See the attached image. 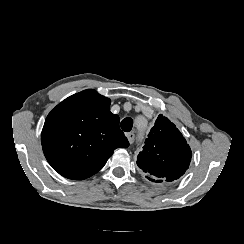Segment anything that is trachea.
<instances>
[{
	"label": "trachea",
	"mask_w": 244,
	"mask_h": 244,
	"mask_svg": "<svg viewBox=\"0 0 244 244\" xmlns=\"http://www.w3.org/2000/svg\"><path fill=\"white\" fill-rule=\"evenodd\" d=\"M120 125L123 131L130 132L133 127V120L131 118H124Z\"/></svg>",
	"instance_id": "3493384b"
}]
</instances>
